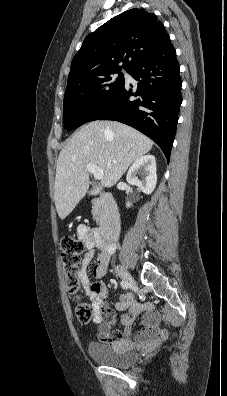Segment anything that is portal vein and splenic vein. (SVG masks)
Returning <instances> with one entry per match:
<instances>
[{
	"instance_id": "portal-vein-and-splenic-vein-1",
	"label": "portal vein and splenic vein",
	"mask_w": 227,
	"mask_h": 396,
	"mask_svg": "<svg viewBox=\"0 0 227 396\" xmlns=\"http://www.w3.org/2000/svg\"><path fill=\"white\" fill-rule=\"evenodd\" d=\"M87 170L94 175L96 180H100L103 177V170L98 168L95 164H87Z\"/></svg>"
}]
</instances>
